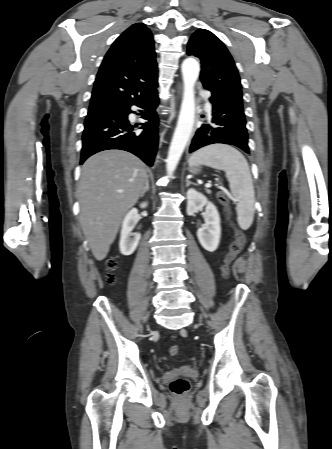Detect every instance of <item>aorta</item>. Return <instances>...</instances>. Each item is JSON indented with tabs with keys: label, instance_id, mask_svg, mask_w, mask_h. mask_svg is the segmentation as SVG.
Instances as JSON below:
<instances>
[{
	"label": "aorta",
	"instance_id": "obj_1",
	"mask_svg": "<svg viewBox=\"0 0 332 449\" xmlns=\"http://www.w3.org/2000/svg\"><path fill=\"white\" fill-rule=\"evenodd\" d=\"M181 69L184 91L177 126L166 160L169 177L173 175L193 129L195 118L194 86L199 76L200 65L194 58H187L183 61Z\"/></svg>",
	"mask_w": 332,
	"mask_h": 449
}]
</instances>
